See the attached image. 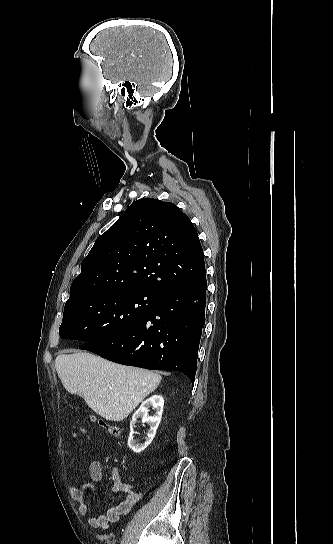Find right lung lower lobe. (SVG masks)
<instances>
[{
  "mask_svg": "<svg viewBox=\"0 0 333 544\" xmlns=\"http://www.w3.org/2000/svg\"><path fill=\"white\" fill-rule=\"evenodd\" d=\"M206 290L204 275L191 285L169 291L135 325L84 349L123 365L181 371L194 383Z\"/></svg>",
  "mask_w": 333,
  "mask_h": 544,
  "instance_id": "1",
  "label": "right lung lower lobe"
}]
</instances>
